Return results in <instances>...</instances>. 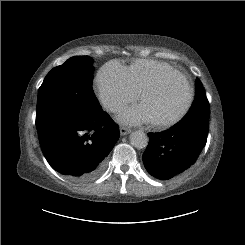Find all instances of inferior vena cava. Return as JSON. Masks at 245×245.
<instances>
[{
	"label": "inferior vena cava",
	"instance_id": "obj_1",
	"mask_svg": "<svg viewBox=\"0 0 245 245\" xmlns=\"http://www.w3.org/2000/svg\"><path fill=\"white\" fill-rule=\"evenodd\" d=\"M111 108H112L113 111H117V110H119L121 108V106L120 105H112Z\"/></svg>",
	"mask_w": 245,
	"mask_h": 245
}]
</instances>
